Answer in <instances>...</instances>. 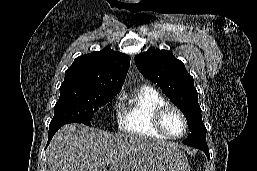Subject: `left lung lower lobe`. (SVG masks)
Masks as SVG:
<instances>
[{
  "mask_svg": "<svg viewBox=\"0 0 257 171\" xmlns=\"http://www.w3.org/2000/svg\"><path fill=\"white\" fill-rule=\"evenodd\" d=\"M193 147L202 150L206 154L207 158L209 159V149L207 145H197Z\"/></svg>",
  "mask_w": 257,
  "mask_h": 171,
  "instance_id": "0a47b994",
  "label": "left lung lower lobe"
}]
</instances>
